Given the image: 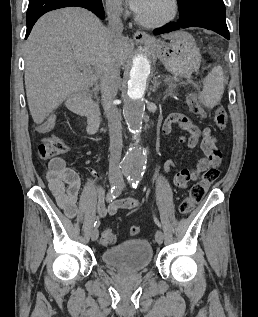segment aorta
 <instances>
[{"label":"aorta","instance_id":"1","mask_svg":"<svg viewBox=\"0 0 258 317\" xmlns=\"http://www.w3.org/2000/svg\"><path fill=\"white\" fill-rule=\"evenodd\" d=\"M150 69V62L145 55L138 54L133 59L130 78L128 80V90L124 99V119L130 132L134 134L136 142H139L142 130V121L145 111L143 97ZM145 165V154L136 144V146L131 147L127 151L122 161V171L127 178L138 180L144 173Z\"/></svg>","mask_w":258,"mask_h":317}]
</instances>
